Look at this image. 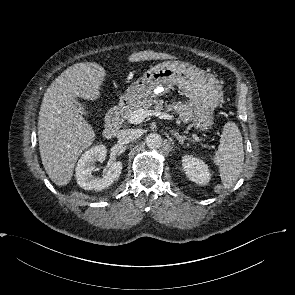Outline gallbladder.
Listing matches in <instances>:
<instances>
[{
	"instance_id": "obj_1",
	"label": "gallbladder",
	"mask_w": 295,
	"mask_h": 295,
	"mask_svg": "<svg viewBox=\"0 0 295 295\" xmlns=\"http://www.w3.org/2000/svg\"><path fill=\"white\" fill-rule=\"evenodd\" d=\"M73 106L74 108L80 113V114H84V109L81 106L80 103H78L77 101L73 102Z\"/></svg>"
}]
</instances>
